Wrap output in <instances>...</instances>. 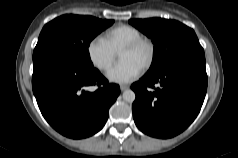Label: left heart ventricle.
<instances>
[{
    "instance_id": "b2bd125f",
    "label": "left heart ventricle",
    "mask_w": 238,
    "mask_h": 158,
    "mask_svg": "<svg viewBox=\"0 0 238 158\" xmlns=\"http://www.w3.org/2000/svg\"><path fill=\"white\" fill-rule=\"evenodd\" d=\"M149 56V49L146 45H141L132 51H123L120 53L119 57L121 61H131L134 64L142 67L147 61Z\"/></svg>"
}]
</instances>
